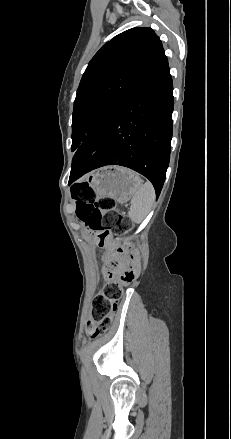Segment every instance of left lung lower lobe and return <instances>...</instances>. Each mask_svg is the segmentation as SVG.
Here are the masks:
<instances>
[{"label":"left lung lower lobe","mask_w":231,"mask_h":439,"mask_svg":"<svg viewBox=\"0 0 231 439\" xmlns=\"http://www.w3.org/2000/svg\"><path fill=\"white\" fill-rule=\"evenodd\" d=\"M172 93L166 58L82 141L72 159L70 182L93 169L121 165L147 177L158 198L170 159Z\"/></svg>","instance_id":"left-lung-lower-lobe-1"}]
</instances>
